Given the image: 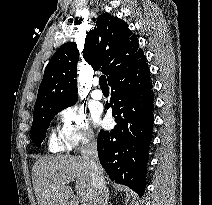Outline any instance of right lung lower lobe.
Masks as SVG:
<instances>
[{"instance_id":"right-lung-lower-lobe-1","label":"right lung lower lobe","mask_w":212,"mask_h":205,"mask_svg":"<svg viewBox=\"0 0 212 205\" xmlns=\"http://www.w3.org/2000/svg\"><path fill=\"white\" fill-rule=\"evenodd\" d=\"M110 103L116 126L101 130L98 157L107 174L142 196L146 185V164L152 140L154 95L150 70L143 54L121 68L108 81Z\"/></svg>"}]
</instances>
